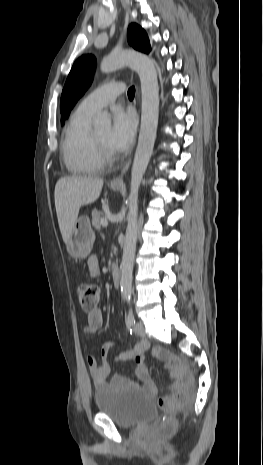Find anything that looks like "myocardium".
<instances>
[{
	"mask_svg": "<svg viewBox=\"0 0 263 465\" xmlns=\"http://www.w3.org/2000/svg\"><path fill=\"white\" fill-rule=\"evenodd\" d=\"M92 139L99 156L104 162L113 161L115 159V153L111 149L106 147L102 142H100L94 134H92Z\"/></svg>",
	"mask_w": 263,
	"mask_h": 465,
	"instance_id": "myocardium-1",
	"label": "myocardium"
}]
</instances>
